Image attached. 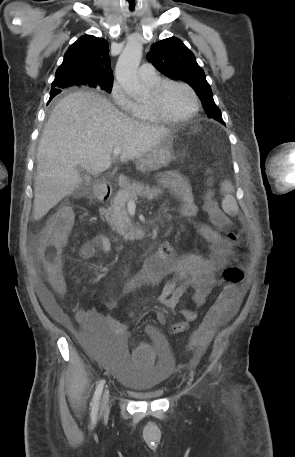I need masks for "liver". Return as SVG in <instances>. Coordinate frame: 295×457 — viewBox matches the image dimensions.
<instances>
[{"mask_svg": "<svg viewBox=\"0 0 295 457\" xmlns=\"http://www.w3.org/2000/svg\"><path fill=\"white\" fill-rule=\"evenodd\" d=\"M172 131L135 121L110 101L92 92H76L54 107L37 151L33 216L44 217L82 182L76 167L97 175L111 166L112 151L121 147L120 161L138 159Z\"/></svg>", "mask_w": 295, "mask_h": 457, "instance_id": "liver-1", "label": "liver"}]
</instances>
